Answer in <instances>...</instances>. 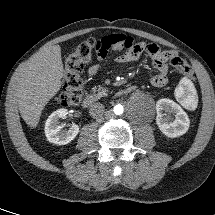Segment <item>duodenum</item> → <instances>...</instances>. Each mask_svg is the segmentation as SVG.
<instances>
[{"label":"duodenum","mask_w":215,"mask_h":215,"mask_svg":"<svg viewBox=\"0 0 215 215\" xmlns=\"http://www.w3.org/2000/svg\"><path fill=\"white\" fill-rule=\"evenodd\" d=\"M134 90V87L133 86H129L125 89H123L120 93H119V96L122 97V96H126L128 95L129 93H131L132 91ZM99 100V97L96 95V94H88L86 95L83 100H82V106L84 108H89L91 106H93L97 101Z\"/></svg>","instance_id":"410a0bca"}]
</instances>
